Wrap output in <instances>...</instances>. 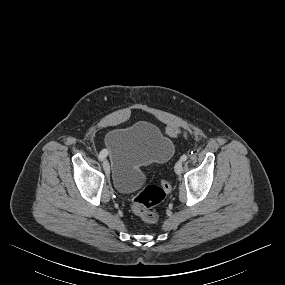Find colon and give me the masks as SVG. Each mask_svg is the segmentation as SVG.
<instances>
[{
    "mask_svg": "<svg viewBox=\"0 0 285 285\" xmlns=\"http://www.w3.org/2000/svg\"><path fill=\"white\" fill-rule=\"evenodd\" d=\"M166 134L170 138H176L181 134L185 135L186 132L178 127L168 126ZM171 187L172 185L169 181H163L160 186H146L133 197V211L143 224H154L158 221L159 216L153 208L164 200L166 193L171 190Z\"/></svg>",
    "mask_w": 285,
    "mask_h": 285,
    "instance_id": "5ec220e1",
    "label": "colon"
}]
</instances>
